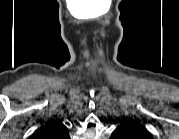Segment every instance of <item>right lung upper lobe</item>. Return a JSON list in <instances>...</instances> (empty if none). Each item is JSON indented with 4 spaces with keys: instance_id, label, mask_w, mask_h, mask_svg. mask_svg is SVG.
I'll return each instance as SVG.
<instances>
[{
    "instance_id": "cb5924a9",
    "label": "right lung upper lobe",
    "mask_w": 179,
    "mask_h": 139,
    "mask_svg": "<svg viewBox=\"0 0 179 139\" xmlns=\"http://www.w3.org/2000/svg\"><path fill=\"white\" fill-rule=\"evenodd\" d=\"M32 137L34 139H68L69 134L63 123L54 121L37 129Z\"/></svg>"
}]
</instances>
